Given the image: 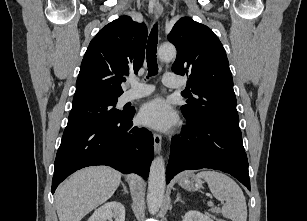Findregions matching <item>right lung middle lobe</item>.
I'll return each mask as SVG.
<instances>
[{
    "label": "right lung middle lobe",
    "mask_w": 307,
    "mask_h": 221,
    "mask_svg": "<svg viewBox=\"0 0 307 221\" xmlns=\"http://www.w3.org/2000/svg\"><path fill=\"white\" fill-rule=\"evenodd\" d=\"M117 101L113 98L73 104L64 133L120 116L124 111L115 108Z\"/></svg>",
    "instance_id": "dd1d6c3e"
}]
</instances>
